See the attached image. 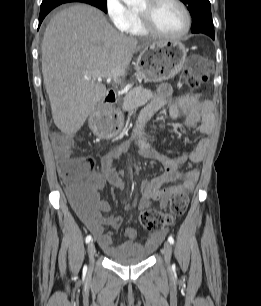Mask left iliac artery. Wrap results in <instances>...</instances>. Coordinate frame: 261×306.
Masks as SVG:
<instances>
[{
  "mask_svg": "<svg viewBox=\"0 0 261 306\" xmlns=\"http://www.w3.org/2000/svg\"><path fill=\"white\" fill-rule=\"evenodd\" d=\"M168 242H169L170 244H174V238H173L172 236H169V237H168Z\"/></svg>",
  "mask_w": 261,
  "mask_h": 306,
  "instance_id": "obj_1",
  "label": "left iliac artery"
}]
</instances>
